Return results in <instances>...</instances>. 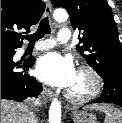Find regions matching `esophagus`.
<instances>
[{
	"label": "esophagus",
	"mask_w": 122,
	"mask_h": 123,
	"mask_svg": "<svg viewBox=\"0 0 122 123\" xmlns=\"http://www.w3.org/2000/svg\"><path fill=\"white\" fill-rule=\"evenodd\" d=\"M51 14H52V6H51V3L50 2H47L46 7H45L44 15L46 17H49L50 18L51 17ZM43 93L46 96V98H48L50 100L55 98V94L51 90H49V89H47L45 87L43 89Z\"/></svg>",
	"instance_id": "1"
}]
</instances>
